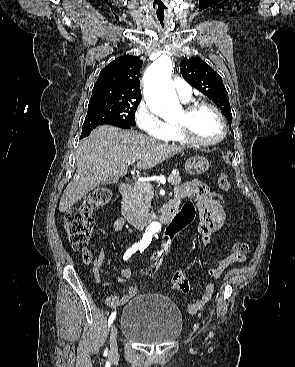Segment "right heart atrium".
Here are the masks:
<instances>
[{
	"instance_id": "d8ad5b80",
	"label": "right heart atrium",
	"mask_w": 295,
	"mask_h": 367,
	"mask_svg": "<svg viewBox=\"0 0 295 367\" xmlns=\"http://www.w3.org/2000/svg\"><path fill=\"white\" fill-rule=\"evenodd\" d=\"M137 126L147 135L156 139H165L170 131V124L162 120L145 102H141L135 112Z\"/></svg>"
}]
</instances>
